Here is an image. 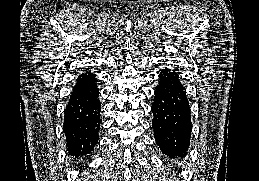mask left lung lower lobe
I'll use <instances>...</instances> for the list:
<instances>
[{
    "label": "left lung lower lobe",
    "instance_id": "left-lung-lower-lobe-1",
    "mask_svg": "<svg viewBox=\"0 0 259 181\" xmlns=\"http://www.w3.org/2000/svg\"><path fill=\"white\" fill-rule=\"evenodd\" d=\"M151 106L154 138L162 153L170 158L186 155L192 131L190 106L179 75L163 69Z\"/></svg>",
    "mask_w": 259,
    "mask_h": 181
}]
</instances>
